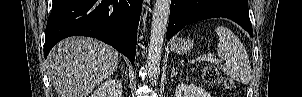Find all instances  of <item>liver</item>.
Returning a JSON list of instances; mask_svg holds the SVG:
<instances>
[{
  "instance_id": "1",
  "label": "liver",
  "mask_w": 302,
  "mask_h": 97,
  "mask_svg": "<svg viewBox=\"0 0 302 97\" xmlns=\"http://www.w3.org/2000/svg\"><path fill=\"white\" fill-rule=\"evenodd\" d=\"M118 63L119 53L113 47L89 37L64 39L47 58L48 74L59 97H88Z\"/></svg>"
}]
</instances>
